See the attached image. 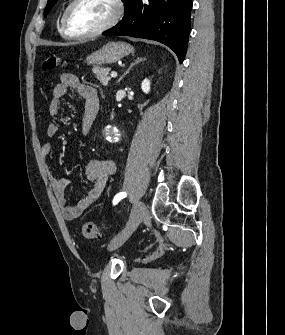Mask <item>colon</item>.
<instances>
[{"mask_svg": "<svg viewBox=\"0 0 285 335\" xmlns=\"http://www.w3.org/2000/svg\"><path fill=\"white\" fill-rule=\"evenodd\" d=\"M64 65L65 60L62 57L51 54L43 61L42 68L44 71L58 70L63 68ZM82 234L85 238L96 239L100 236V231L95 223L86 222L82 225Z\"/></svg>", "mask_w": 285, "mask_h": 335, "instance_id": "1", "label": "colon"}]
</instances>
